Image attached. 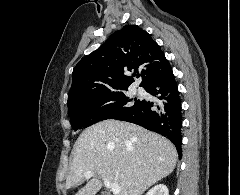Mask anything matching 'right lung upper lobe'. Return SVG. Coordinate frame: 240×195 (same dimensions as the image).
Masks as SVG:
<instances>
[{"instance_id":"obj_1","label":"right lung upper lobe","mask_w":240,"mask_h":195,"mask_svg":"<svg viewBox=\"0 0 240 195\" xmlns=\"http://www.w3.org/2000/svg\"><path fill=\"white\" fill-rule=\"evenodd\" d=\"M132 72V76L125 73ZM171 71L160 46L137 25H126L113 33L97 50L74 67L67 104L80 99L126 90L141 76V87Z\"/></svg>"}]
</instances>
